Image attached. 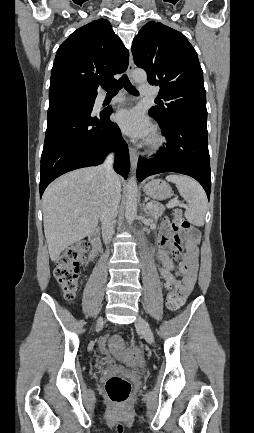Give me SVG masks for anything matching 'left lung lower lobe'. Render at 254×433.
<instances>
[{
	"mask_svg": "<svg viewBox=\"0 0 254 433\" xmlns=\"http://www.w3.org/2000/svg\"><path fill=\"white\" fill-rule=\"evenodd\" d=\"M206 122L207 119L196 115H183L167 124L158 122L167 144L156 157L139 158L138 180L162 172L189 175L202 185L209 199L211 179Z\"/></svg>",
	"mask_w": 254,
	"mask_h": 433,
	"instance_id": "left-lung-lower-lobe-1",
	"label": "left lung lower lobe"
}]
</instances>
